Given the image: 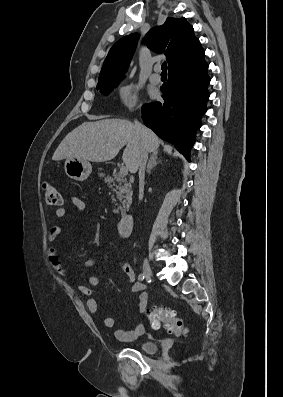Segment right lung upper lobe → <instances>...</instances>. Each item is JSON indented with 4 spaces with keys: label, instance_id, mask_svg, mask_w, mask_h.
<instances>
[{
    "label": "right lung upper lobe",
    "instance_id": "1",
    "mask_svg": "<svg viewBox=\"0 0 283 397\" xmlns=\"http://www.w3.org/2000/svg\"><path fill=\"white\" fill-rule=\"evenodd\" d=\"M138 38L137 33L130 34L112 46L99 74V81L122 78ZM145 44L149 49L166 55L169 71L205 56V51L193 33V27L185 18L168 17L163 25L150 29L145 37Z\"/></svg>",
    "mask_w": 283,
    "mask_h": 397
}]
</instances>
